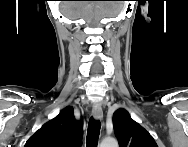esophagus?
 Segmentation results:
<instances>
[{
	"instance_id": "1",
	"label": "esophagus",
	"mask_w": 188,
	"mask_h": 147,
	"mask_svg": "<svg viewBox=\"0 0 188 147\" xmlns=\"http://www.w3.org/2000/svg\"><path fill=\"white\" fill-rule=\"evenodd\" d=\"M92 116L95 120H101L103 118V110L100 105H95L93 107Z\"/></svg>"
}]
</instances>
